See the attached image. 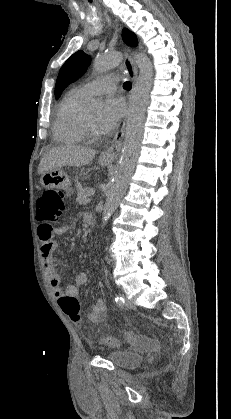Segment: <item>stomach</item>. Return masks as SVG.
I'll return each instance as SVG.
<instances>
[{
  "label": "stomach",
  "instance_id": "obj_1",
  "mask_svg": "<svg viewBox=\"0 0 231 419\" xmlns=\"http://www.w3.org/2000/svg\"><path fill=\"white\" fill-rule=\"evenodd\" d=\"M99 163L102 166H108L111 164V161L105 159L104 157H100ZM40 184L45 188L62 189L66 190L69 194L72 193L71 181L68 175L61 168L44 172L41 175Z\"/></svg>",
  "mask_w": 231,
  "mask_h": 419
}]
</instances>
